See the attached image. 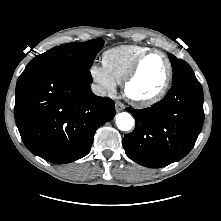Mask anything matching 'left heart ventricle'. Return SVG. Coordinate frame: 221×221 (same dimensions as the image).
<instances>
[{
    "mask_svg": "<svg viewBox=\"0 0 221 221\" xmlns=\"http://www.w3.org/2000/svg\"><path fill=\"white\" fill-rule=\"evenodd\" d=\"M167 73V64L160 54L148 56L131 83L129 91L136 97H148L162 87Z\"/></svg>",
    "mask_w": 221,
    "mask_h": 221,
    "instance_id": "left-heart-ventricle-1",
    "label": "left heart ventricle"
}]
</instances>
